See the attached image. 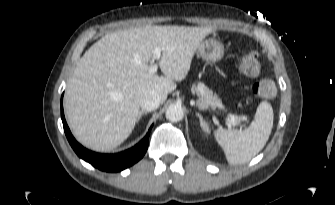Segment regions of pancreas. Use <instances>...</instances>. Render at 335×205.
<instances>
[{"label":"pancreas","instance_id":"1","mask_svg":"<svg viewBox=\"0 0 335 205\" xmlns=\"http://www.w3.org/2000/svg\"><path fill=\"white\" fill-rule=\"evenodd\" d=\"M191 90L200 95V98L197 101V105L201 109H206L209 107L223 108L222 102L219 97L216 94H213V91L205 86L204 83L198 82L197 84H193Z\"/></svg>","mask_w":335,"mask_h":205}]
</instances>
